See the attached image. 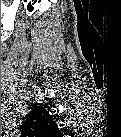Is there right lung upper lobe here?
<instances>
[{
    "instance_id": "obj_1",
    "label": "right lung upper lobe",
    "mask_w": 121,
    "mask_h": 137,
    "mask_svg": "<svg viewBox=\"0 0 121 137\" xmlns=\"http://www.w3.org/2000/svg\"><path fill=\"white\" fill-rule=\"evenodd\" d=\"M51 132H59L52 116L42 106H35L27 115L22 126V133L25 135H46Z\"/></svg>"
}]
</instances>
